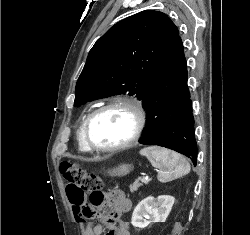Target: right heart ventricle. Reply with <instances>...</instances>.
Masks as SVG:
<instances>
[{"instance_id":"right-heart-ventricle-1","label":"right heart ventricle","mask_w":250,"mask_h":235,"mask_svg":"<svg viewBox=\"0 0 250 235\" xmlns=\"http://www.w3.org/2000/svg\"><path fill=\"white\" fill-rule=\"evenodd\" d=\"M89 114H90V112H87L84 115V117L82 118V121L80 123L79 129H78V146H79V149L83 152L89 151V149L86 147V145L84 143V139H83V127H84L85 121H86Z\"/></svg>"}]
</instances>
